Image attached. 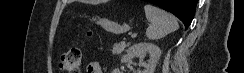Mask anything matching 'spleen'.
<instances>
[{
	"label": "spleen",
	"instance_id": "spleen-1",
	"mask_svg": "<svg viewBox=\"0 0 244 73\" xmlns=\"http://www.w3.org/2000/svg\"><path fill=\"white\" fill-rule=\"evenodd\" d=\"M144 11L147 20L150 22L146 30V36L149 40H158L179 29L177 19L172 14L151 4H146Z\"/></svg>",
	"mask_w": 244,
	"mask_h": 73
}]
</instances>
